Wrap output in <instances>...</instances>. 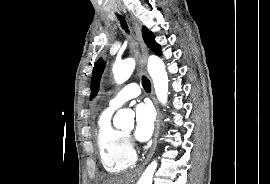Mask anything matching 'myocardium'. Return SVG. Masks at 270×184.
<instances>
[{"mask_svg":"<svg viewBox=\"0 0 270 184\" xmlns=\"http://www.w3.org/2000/svg\"><path fill=\"white\" fill-rule=\"evenodd\" d=\"M126 135V137H128L129 135L128 134H125Z\"/></svg>","mask_w":270,"mask_h":184,"instance_id":"f54148a6","label":"myocardium"}]
</instances>
